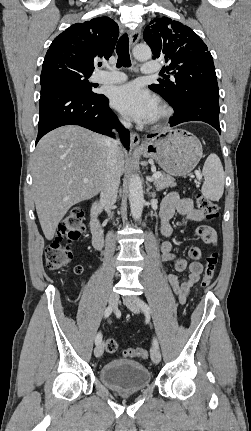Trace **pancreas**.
<instances>
[{
	"label": "pancreas",
	"mask_w": 251,
	"mask_h": 431,
	"mask_svg": "<svg viewBox=\"0 0 251 431\" xmlns=\"http://www.w3.org/2000/svg\"><path fill=\"white\" fill-rule=\"evenodd\" d=\"M159 173H160V177L157 179H154V181H153V183H154V185L158 191L163 190V189L168 188V187H175L176 186L175 179L172 176L161 173V172H159Z\"/></svg>",
	"instance_id": "cf45deb5"
}]
</instances>
